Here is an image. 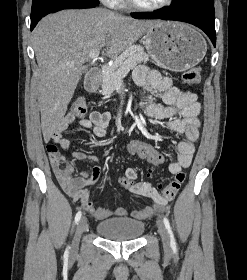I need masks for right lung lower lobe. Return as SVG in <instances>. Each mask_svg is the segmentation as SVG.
Instances as JSON below:
<instances>
[{"label": "right lung lower lobe", "instance_id": "obj_1", "mask_svg": "<svg viewBox=\"0 0 247 280\" xmlns=\"http://www.w3.org/2000/svg\"><path fill=\"white\" fill-rule=\"evenodd\" d=\"M97 4L92 3V2H86V1H70V2H63V3H59L56 4L54 6H52L51 8H49L41 17L37 18L36 20H31V30L36 26L37 22L45 15L54 12V11H58V10H62V9H68V8H92V7H96Z\"/></svg>", "mask_w": 247, "mask_h": 280}]
</instances>
